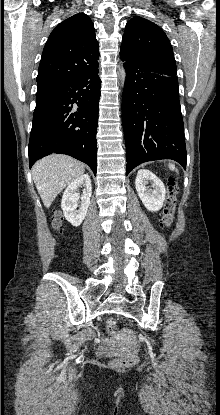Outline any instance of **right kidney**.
Returning <instances> with one entry per match:
<instances>
[{"label": "right kidney", "instance_id": "ca27d5eb", "mask_svg": "<svg viewBox=\"0 0 220 415\" xmlns=\"http://www.w3.org/2000/svg\"><path fill=\"white\" fill-rule=\"evenodd\" d=\"M79 187H84L81 197L77 192ZM91 195L92 187L88 174H84L76 178L68 185L64 191L61 201V208L66 220L73 226H80V224L83 222L90 204ZM79 199H81V204L79 210H76L78 207Z\"/></svg>", "mask_w": 220, "mask_h": 415}]
</instances>
